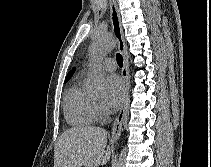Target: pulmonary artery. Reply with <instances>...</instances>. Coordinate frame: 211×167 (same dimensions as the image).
Masks as SVG:
<instances>
[{
	"mask_svg": "<svg viewBox=\"0 0 211 167\" xmlns=\"http://www.w3.org/2000/svg\"><path fill=\"white\" fill-rule=\"evenodd\" d=\"M101 65L103 69L109 72L115 71L117 67L115 60H113L112 58H106Z\"/></svg>",
	"mask_w": 211,
	"mask_h": 167,
	"instance_id": "pulmonary-artery-1",
	"label": "pulmonary artery"
}]
</instances>
